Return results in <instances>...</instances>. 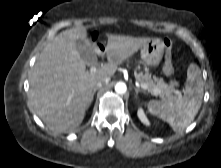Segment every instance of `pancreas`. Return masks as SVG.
I'll return each mask as SVG.
<instances>
[{
  "label": "pancreas",
  "instance_id": "pancreas-1",
  "mask_svg": "<svg viewBox=\"0 0 221 168\" xmlns=\"http://www.w3.org/2000/svg\"><path fill=\"white\" fill-rule=\"evenodd\" d=\"M135 78L138 82L144 83L148 86V91L154 95L159 96L161 98L168 97L172 94L174 85H168L164 82L163 78H156L152 79L151 75L146 72L143 73H134Z\"/></svg>",
  "mask_w": 221,
  "mask_h": 168
}]
</instances>
